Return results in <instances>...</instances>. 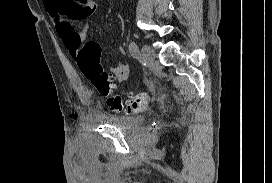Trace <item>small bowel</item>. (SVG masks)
Listing matches in <instances>:
<instances>
[{
  "label": "small bowel",
  "mask_w": 272,
  "mask_h": 183,
  "mask_svg": "<svg viewBox=\"0 0 272 183\" xmlns=\"http://www.w3.org/2000/svg\"><path fill=\"white\" fill-rule=\"evenodd\" d=\"M43 5L56 25L57 32L65 47L74 59H77L82 43L89 32L86 24L79 32L74 30L73 21L89 19L97 10L93 0H43ZM124 47L119 52L124 53ZM113 77L118 81L127 80L132 69L129 65L118 62L111 68Z\"/></svg>",
  "instance_id": "small-bowel-1"
}]
</instances>
